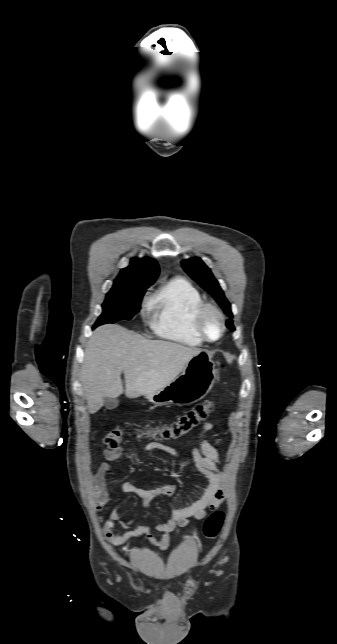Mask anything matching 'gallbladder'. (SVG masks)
Instances as JSON below:
<instances>
[{
  "label": "gallbladder",
  "mask_w": 337,
  "mask_h": 644,
  "mask_svg": "<svg viewBox=\"0 0 337 644\" xmlns=\"http://www.w3.org/2000/svg\"><path fill=\"white\" fill-rule=\"evenodd\" d=\"M104 406L108 410H113L118 406V400L116 398H104Z\"/></svg>",
  "instance_id": "obj_1"
}]
</instances>
